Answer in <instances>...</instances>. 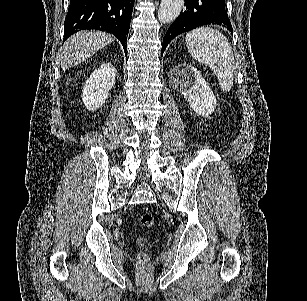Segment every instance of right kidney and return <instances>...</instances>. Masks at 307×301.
<instances>
[{
  "instance_id": "1",
  "label": "right kidney",
  "mask_w": 307,
  "mask_h": 301,
  "mask_svg": "<svg viewBox=\"0 0 307 301\" xmlns=\"http://www.w3.org/2000/svg\"><path fill=\"white\" fill-rule=\"evenodd\" d=\"M115 82L116 68L111 62H104L93 70L82 88V102L85 108L88 110L101 108Z\"/></svg>"
}]
</instances>
